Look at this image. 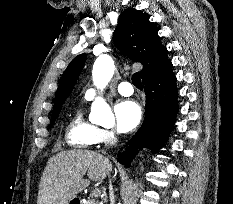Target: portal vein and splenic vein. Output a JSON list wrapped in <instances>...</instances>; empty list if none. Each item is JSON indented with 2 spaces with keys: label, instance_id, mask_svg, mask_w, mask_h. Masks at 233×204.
Masks as SVG:
<instances>
[{
  "label": "portal vein and splenic vein",
  "instance_id": "18ae733b",
  "mask_svg": "<svg viewBox=\"0 0 233 204\" xmlns=\"http://www.w3.org/2000/svg\"><path fill=\"white\" fill-rule=\"evenodd\" d=\"M100 194H101V191L98 188H95L94 191L92 192V195L95 197L99 196Z\"/></svg>",
  "mask_w": 233,
  "mask_h": 204
}]
</instances>
